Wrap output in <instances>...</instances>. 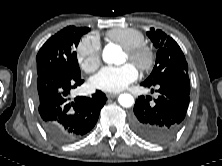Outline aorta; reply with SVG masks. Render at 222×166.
<instances>
[{"label": "aorta", "mask_w": 222, "mask_h": 166, "mask_svg": "<svg viewBox=\"0 0 222 166\" xmlns=\"http://www.w3.org/2000/svg\"><path fill=\"white\" fill-rule=\"evenodd\" d=\"M102 58L108 64L119 65L124 61L121 48L113 44L105 46ZM118 102L121 106L128 108L134 104V98L131 94L124 93L119 95Z\"/></svg>", "instance_id": "762f6f07"}]
</instances>
